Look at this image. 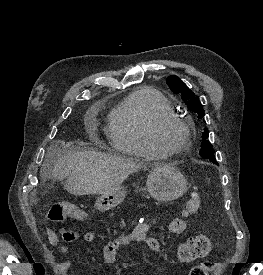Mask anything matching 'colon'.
<instances>
[{
  "mask_svg": "<svg viewBox=\"0 0 263 275\" xmlns=\"http://www.w3.org/2000/svg\"><path fill=\"white\" fill-rule=\"evenodd\" d=\"M200 207V195L197 191L192 192L184 208V215L195 214ZM49 219L53 222H63L67 219L85 220L87 214L78 207L69 203H57L51 208ZM212 249V243L208 236L197 235L189 238L180 245L177 252V258L182 263H190L198 259L205 258ZM216 267L212 261H204L195 265L189 275H209Z\"/></svg>",
  "mask_w": 263,
  "mask_h": 275,
  "instance_id": "5ec220e1",
  "label": "colon"
}]
</instances>
